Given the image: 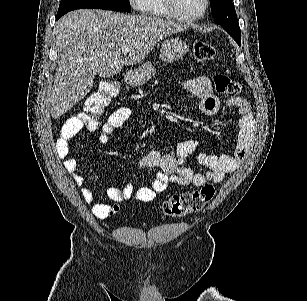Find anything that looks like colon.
I'll return each instance as SVG.
<instances>
[{
  "label": "colon",
  "instance_id": "colon-1",
  "mask_svg": "<svg viewBox=\"0 0 307 301\" xmlns=\"http://www.w3.org/2000/svg\"><path fill=\"white\" fill-rule=\"evenodd\" d=\"M193 55L199 62L206 63L215 56V48L208 42L195 41L193 44ZM214 86L217 92L230 96L242 92L241 84L224 74L214 77ZM120 82L107 81L99 90L87 100L83 112L79 115L82 126L87 130H96L99 127L100 118L111 101L119 95ZM216 187L213 184H205L198 190L174 195L162 205V211L169 217H183L203 209L214 197Z\"/></svg>",
  "mask_w": 307,
  "mask_h": 301
}]
</instances>
